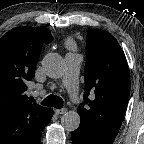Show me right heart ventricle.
I'll use <instances>...</instances> for the list:
<instances>
[{
    "instance_id": "right-heart-ventricle-1",
    "label": "right heart ventricle",
    "mask_w": 144,
    "mask_h": 144,
    "mask_svg": "<svg viewBox=\"0 0 144 144\" xmlns=\"http://www.w3.org/2000/svg\"><path fill=\"white\" fill-rule=\"evenodd\" d=\"M67 45L70 46V47H72V46H73V43H72L71 41H68V42H67Z\"/></svg>"
}]
</instances>
